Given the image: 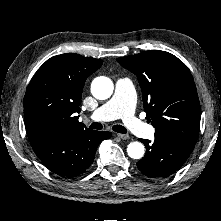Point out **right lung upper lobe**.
I'll return each instance as SVG.
<instances>
[{
  "label": "right lung upper lobe",
  "instance_id": "cb5924a9",
  "mask_svg": "<svg viewBox=\"0 0 221 221\" xmlns=\"http://www.w3.org/2000/svg\"><path fill=\"white\" fill-rule=\"evenodd\" d=\"M103 61L74 53L47 60L31 79L23 100L27 135L40 132L80 133L88 129L78 121L86 79Z\"/></svg>",
  "mask_w": 221,
  "mask_h": 221
}]
</instances>
